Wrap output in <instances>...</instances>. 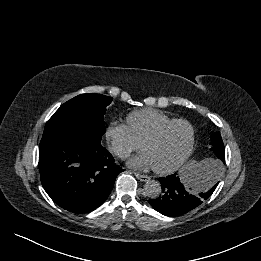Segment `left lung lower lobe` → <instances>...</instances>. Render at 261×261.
<instances>
[{
  "label": "left lung lower lobe",
  "instance_id": "0a47b994",
  "mask_svg": "<svg viewBox=\"0 0 261 261\" xmlns=\"http://www.w3.org/2000/svg\"><path fill=\"white\" fill-rule=\"evenodd\" d=\"M221 164L209 162L202 167L192 187H184L178 174H173L165 178H159L162 194L153 200H149L150 205L166 216L183 215L198 207L207 200L219 182ZM181 177V175H180Z\"/></svg>",
  "mask_w": 261,
  "mask_h": 261
}]
</instances>
